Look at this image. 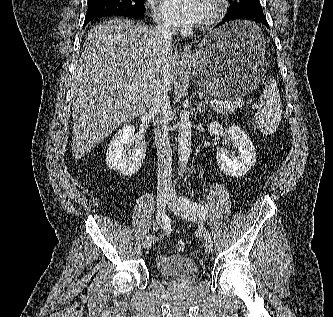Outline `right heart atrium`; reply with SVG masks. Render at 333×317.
Wrapping results in <instances>:
<instances>
[{
  "mask_svg": "<svg viewBox=\"0 0 333 317\" xmlns=\"http://www.w3.org/2000/svg\"><path fill=\"white\" fill-rule=\"evenodd\" d=\"M153 17L161 28L172 29V26L155 9H153Z\"/></svg>",
  "mask_w": 333,
  "mask_h": 317,
  "instance_id": "right-heart-atrium-1",
  "label": "right heart atrium"
}]
</instances>
